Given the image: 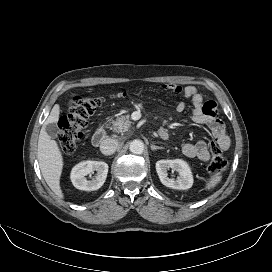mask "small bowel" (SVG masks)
Wrapping results in <instances>:
<instances>
[{"label":"small bowel","mask_w":272,"mask_h":272,"mask_svg":"<svg viewBox=\"0 0 272 272\" xmlns=\"http://www.w3.org/2000/svg\"><path fill=\"white\" fill-rule=\"evenodd\" d=\"M164 89L170 90L176 94L182 95L185 99L190 100L191 119L194 123L199 125H206L218 145L223 150H228L230 147V139L226 134L224 123L218 117L217 105L213 101L204 102L203 96L199 93L196 87L186 86L181 87L177 85L166 84ZM126 93H119L113 97H123ZM186 109V103L179 101L176 105L177 112H183ZM165 134L163 139L168 137L166 128H161L159 131ZM182 152L188 157H197L202 161L210 159V151L208 144L204 140H199L195 143L186 142L182 145Z\"/></svg>","instance_id":"1"}]
</instances>
